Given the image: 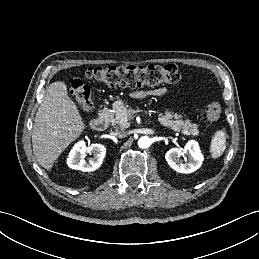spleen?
<instances>
[{"mask_svg":"<svg viewBox=\"0 0 259 259\" xmlns=\"http://www.w3.org/2000/svg\"><path fill=\"white\" fill-rule=\"evenodd\" d=\"M226 149V133L224 130H218L215 132L211 144L210 153L212 158H219Z\"/></svg>","mask_w":259,"mask_h":259,"instance_id":"obj_1","label":"spleen"}]
</instances>
